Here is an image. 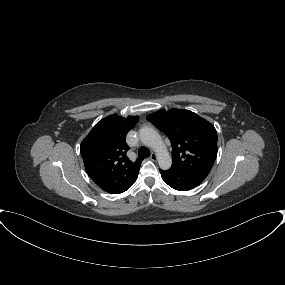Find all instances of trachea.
I'll use <instances>...</instances> for the list:
<instances>
[{"mask_svg": "<svg viewBox=\"0 0 285 285\" xmlns=\"http://www.w3.org/2000/svg\"><path fill=\"white\" fill-rule=\"evenodd\" d=\"M138 156L140 158H145L150 156V151L145 147H140L138 150Z\"/></svg>", "mask_w": 285, "mask_h": 285, "instance_id": "1", "label": "trachea"}]
</instances>
